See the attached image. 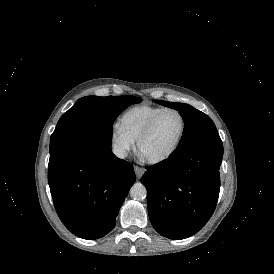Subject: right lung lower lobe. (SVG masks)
<instances>
[{
    "label": "right lung lower lobe",
    "instance_id": "right-lung-lower-lobe-1",
    "mask_svg": "<svg viewBox=\"0 0 274 274\" xmlns=\"http://www.w3.org/2000/svg\"><path fill=\"white\" fill-rule=\"evenodd\" d=\"M136 176L111 150V135L96 133L50 154L48 183L63 224L83 239L110 232Z\"/></svg>",
    "mask_w": 274,
    "mask_h": 274
}]
</instances>
